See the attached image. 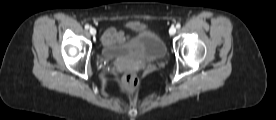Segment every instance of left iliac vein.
I'll use <instances>...</instances> for the list:
<instances>
[{
    "instance_id": "4c4485c4",
    "label": "left iliac vein",
    "mask_w": 276,
    "mask_h": 120,
    "mask_svg": "<svg viewBox=\"0 0 276 120\" xmlns=\"http://www.w3.org/2000/svg\"><path fill=\"white\" fill-rule=\"evenodd\" d=\"M169 33L170 35H174L176 33V28L174 26L170 27Z\"/></svg>"
}]
</instances>
